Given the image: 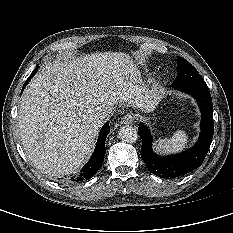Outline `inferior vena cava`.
<instances>
[{"mask_svg":"<svg viewBox=\"0 0 233 233\" xmlns=\"http://www.w3.org/2000/svg\"><path fill=\"white\" fill-rule=\"evenodd\" d=\"M110 116V112L109 111H103V112H99L95 118L97 119V121H99L100 123L103 122L105 119L109 118Z\"/></svg>","mask_w":233,"mask_h":233,"instance_id":"inferior-vena-cava-1","label":"inferior vena cava"}]
</instances>
